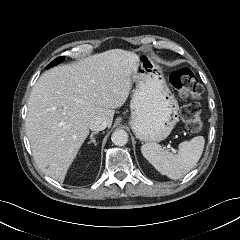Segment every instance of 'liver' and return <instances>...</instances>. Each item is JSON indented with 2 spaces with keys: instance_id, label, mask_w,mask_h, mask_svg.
I'll list each match as a JSON object with an SVG mask.
<instances>
[{
  "instance_id": "6515ba94",
  "label": "liver",
  "mask_w": 240,
  "mask_h": 240,
  "mask_svg": "<svg viewBox=\"0 0 240 240\" xmlns=\"http://www.w3.org/2000/svg\"><path fill=\"white\" fill-rule=\"evenodd\" d=\"M137 71L134 52L112 49L40 76L28 100L26 134L34 160L47 176L64 181L93 118L101 116L111 127Z\"/></svg>"
}]
</instances>
